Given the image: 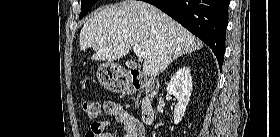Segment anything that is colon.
Returning a JSON list of instances; mask_svg holds the SVG:
<instances>
[{
	"label": "colon",
	"mask_w": 280,
	"mask_h": 137,
	"mask_svg": "<svg viewBox=\"0 0 280 137\" xmlns=\"http://www.w3.org/2000/svg\"><path fill=\"white\" fill-rule=\"evenodd\" d=\"M81 108L83 112L86 113L90 118L97 117L100 110L98 102L94 100H84L81 104ZM130 128L131 134L129 135V137L142 136L137 125L132 124Z\"/></svg>",
	"instance_id": "5ec220e1"
}]
</instances>
